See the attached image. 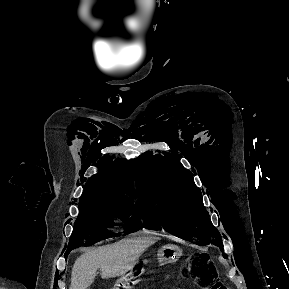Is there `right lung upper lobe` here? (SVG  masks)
Listing matches in <instances>:
<instances>
[{
	"instance_id": "cb5924a9",
	"label": "right lung upper lobe",
	"mask_w": 289,
	"mask_h": 289,
	"mask_svg": "<svg viewBox=\"0 0 289 289\" xmlns=\"http://www.w3.org/2000/svg\"><path fill=\"white\" fill-rule=\"evenodd\" d=\"M130 164L117 159L108 170L91 177L86 183L80 202L127 201L134 203L137 197L133 180L128 174Z\"/></svg>"
}]
</instances>
